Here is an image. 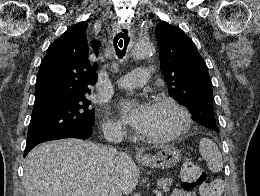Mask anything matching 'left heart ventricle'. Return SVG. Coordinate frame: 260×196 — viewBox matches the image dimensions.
I'll list each match as a JSON object with an SVG mask.
<instances>
[{"instance_id": "b2bd125f", "label": "left heart ventricle", "mask_w": 260, "mask_h": 196, "mask_svg": "<svg viewBox=\"0 0 260 196\" xmlns=\"http://www.w3.org/2000/svg\"><path fill=\"white\" fill-rule=\"evenodd\" d=\"M181 123L180 113L172 106L150 104V115L145 132L150 135H161L177 129Z\"/></svg>"}]
</instances>
